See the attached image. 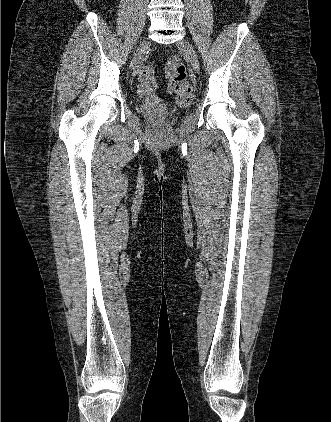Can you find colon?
Returning a JSON list of instances; mask_svg holds the SVG:
<instances>
[{
    "instance_id": "5ec220e1",
    "label": "colon",
    "mask_w": 331,
    "mask_h": 422,
    "mask_svg": "<svg viewBox=\"0 0 331 422\" xmlns=\"http://www.w3.org/2000/svg\"><path fill=\"white\" fill-rule=\"evenodd\" d=\"M141 76L152 79L153 67L147 63L141 68ZM166 73L169 78V91L173 94L181 106L190 103L192 99V88L187 81L185 65L176 56H171L166 63Z\"/></svg>"
}]
</instances>
